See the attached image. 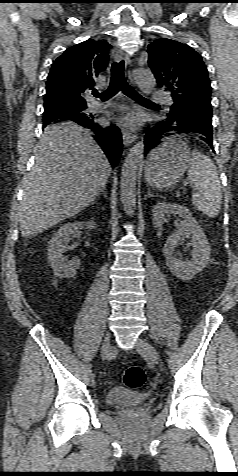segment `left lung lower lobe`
<instances>
[{"instance_id":"left-lung-lower-lobe-1","label":"left lung lower lobe","mask_w":238,"mask_h":476,"mask_svg":"<svg viewBox=\"0 0 238 476\" xmlns=\"http://www.w3.org/2000/svg\"><path fill=\"white\" fill-rule=\"evenodd\" d=\"M157 109H160L158 106ZM212 116L194 112L178 113L176 111H162L161 119L153 125L145 137V151L157 147L163 138L177 134L197 133L201 140L207 143L212 151Z\"/></svg>"}]
</instances>
